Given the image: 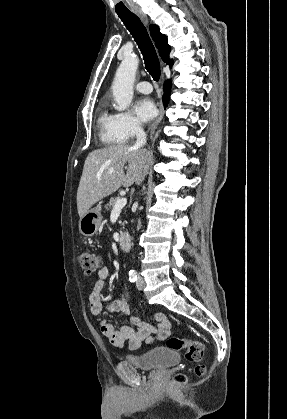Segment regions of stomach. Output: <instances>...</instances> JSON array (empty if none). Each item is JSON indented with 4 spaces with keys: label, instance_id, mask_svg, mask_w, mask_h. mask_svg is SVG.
Returning <instances> with one entry per match:
<instances>
[{
    "label": "stomach",
    "instance_id": "stomach-1",
    "mask_svg": "<svg viewBox=\"0 0 287 419\" xmlns=\"http://www.w3.org/2000/svg\"><path fill=\"white\" fill-rule=\"evenodd\" d=\"M102 221L100 206L90 209L79 221V231L82 235L91 237L98 233Z\"/></svg>",
    "mask_w": 287,
    "mask_h": 419
}]
</instances>
